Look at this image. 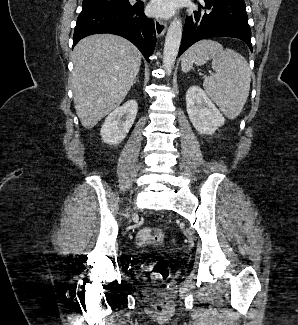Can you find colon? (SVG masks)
<instances>
[{
	"label": "colon",
	"instance_id": "5ec220e1",
	"mask_svg": "<svg viewBox=\"0 0 298 325\" xmlns=\"http://www.w3.org/2000/svg\"><path fill=\"white\" fill-rule=\"evenodd\" d=\"M163 238L164 234L160 229L143 228L136 235V243L139 246H152L160 243ZM169 276L170 266L165 260L156 262L150 271V277L157 285L163 284Z\"/></svg>",
	"mask_w": 298,
	"mask_h": 325
}]
</instances>
